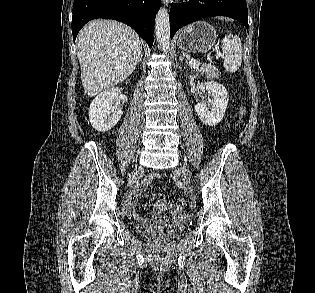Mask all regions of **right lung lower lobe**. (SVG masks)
<instances>
[{
	"instance_id": "right-lung-lower-lobe-1",
	"label": "right lung lower lobe",
	"mask_w": 315,
	"mask_h": 293,
	"mask_svg": "<svg viewBox=\"0 0 315 293\" xmlns=\"http://www.w3.org/2000/svg\"><path fill=\"white\" fill-rule=\"evenodd\" d=\"M160 0H74L72 34L75 41L79 30L96 18L114 19L133 28L149 47Z\"/></svg>"
}]
</instances>
